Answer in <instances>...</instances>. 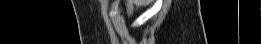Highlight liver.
<instances>
[{
  "label": "liver",
  "mask_w": 261,
  "mask_h": 44,
  "mask_svg": "<svg viewBox=\"0 0 261 44\" xmlns=\"http://www.w3.org/2000/svg\"><path fill=\"white\" fill-rule=\"evenodd\" d=\"M133 1L134 0H128L126 3V10H127L128 16H130L133 13V10H134Z\"/></svg>",
  "instance_id": "obj_1"
}]
</instances>
